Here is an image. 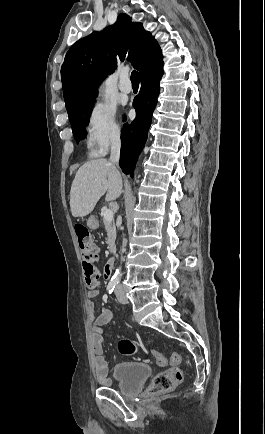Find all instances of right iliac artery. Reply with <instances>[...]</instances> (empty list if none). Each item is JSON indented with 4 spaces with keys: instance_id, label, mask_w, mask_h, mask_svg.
<instances>
[{
    "instance_id": "82829eb1",
    "label": "right iliac artery",
    "mask_w": 265,
    "mask_h": 434,
    "mask_svg": "<svg viewBox=\"0 0 265 434\" xmlns=\"http://www.w3.org/2000/svg\"><path fill=\"white\" fill-rule=\"evenodd\" d=\"M117 284H118V282H115V281H110V282H109V284H108V286H107V291H108L109 294H111V293L114 291L115 286H116Z\"/></svg>"
}]
</instances>
